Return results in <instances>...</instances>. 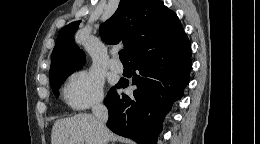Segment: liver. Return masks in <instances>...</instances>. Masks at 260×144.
Listing matches in <instances>:
<instances>
[{"label": "liver", "mask_w": 260, "mask_h": 144, "mask_svg": "<svg viewBox=\"0 0 260 144\" xmlns=\"http://www.w3.org/2000/svg\"><path fill=\"white\" fill-rule=\"evenodd\" d=\"M110 139L115 135L106 127L100 131L95 117L88 114L56 121L51 134V144H107Z\"/></svg>", "instance_id": "6515ba94"}]
</instances>
